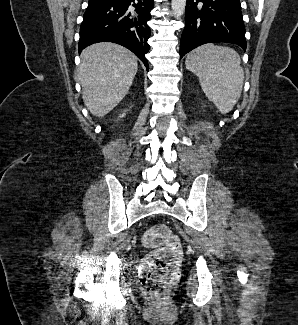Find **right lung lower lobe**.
Instances as JSON below:
<instances>
[{"instance_id": "98d812e1", "label": "right lung lower lobe", "mask_w": 298, "mask_h": 325, "mask_svg": "<svg viewBox=\"0 0 298 325\" xmlns=\"http://www.w3.org/2000/svg\"><path fill=\"white\" fill-rule=\"evenodd\" d=\"M89 0L80 27L79 53L88 45L108 41L131 50L149 69L145 54L150 46L153 0Z\"/></svg>"}]
</instances>
